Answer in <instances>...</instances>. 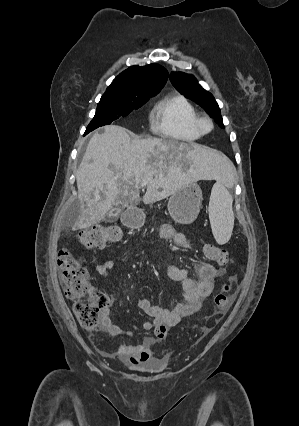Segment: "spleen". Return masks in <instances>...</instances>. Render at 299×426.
I'll return each mask as SVG.
<instances>
[{
	"mask_svg": "<svg viewBox=\"0 0 299 426\" xmlns=\"http://www.w3.org/2000/svg\"><path fill=\"white\" fill-rule=\"evenodd\" d=\"M232 203L231 194L224 182L219 179L212 188L208 211L212 233L220 245L226 244L232 235L234 226Z\"/></svg>",
	"mask_w": 299,
	"mask_h": 426,
	"instance_id": "3e777b00",
	"label": "spleen"
}]
</instances>
